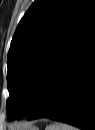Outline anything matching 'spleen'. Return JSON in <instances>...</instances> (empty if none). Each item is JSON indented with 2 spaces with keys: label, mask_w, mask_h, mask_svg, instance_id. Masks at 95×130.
Instances as JSON below:
<instances>
[{
  "label": "spleen",
  "mask_w": 95,
  "mask_h": 130,
  "mask_svg": "<svg viewBox=\"0 0 95 130\" xmlns=\"http://www.w3.org/2000/svg\"><path fill=\"white\" fill-rule=\"evenodd\" d=\"M46 130H78L74 126L61 122H54L46 127Z\"/></svg>",
  "instance_id": "3e777b00"
}]
</instances>
